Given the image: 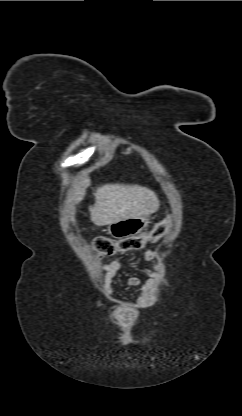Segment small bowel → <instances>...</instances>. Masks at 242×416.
I'll use <instances>...</instances> for the list:
<instances>
[{
	"mask_svg": "<svg viewBox=\"0 0 242 416\" xmlns=\"http://www.w3.org/2000/svg\"><path fill=\"white\" fill-rule=\"evenodd\" d=\"M155 259V252L147 249L144 254V260L147 264L145 269L146 277L142 279L134 276L128 279V284L131 287L139 288L140 294L135 299H118L120 307L116 311V317L119 320L125 321L138 316L140 309L147 304L150 296V288L157 275ZM121 264L120 260H114L103 265L102 270L106 275V280L110 281L116 276L121 268Z\"/></svg>",
	"mask_w": 242,
	"mask_h": 416,
	"instance_id": "1",
	"label": "small bowel"
}]
</instances>
